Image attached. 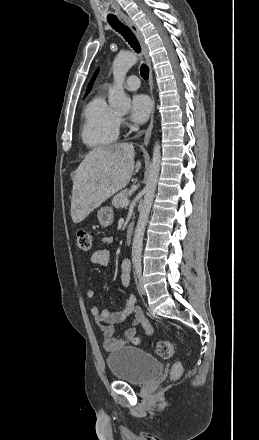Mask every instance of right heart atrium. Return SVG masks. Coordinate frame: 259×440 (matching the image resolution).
I'll use <instances>...</instances> for the list:
<instances>
[{
    "instance_id": "right-heart-atrium-1",
    "label": "right heart atrium",
    "mask_w": 259,
    "mask_h": 440,
    "mask_svg": "<svg viewBox=\"0 0 259 440\" xmlns=\"http://www.w3.org/2000/svg\"><path fill=\"white\" fill-rule=\"evenodd\" d=\"M118 124L119 125H124L125 124V121H124V119L122 117H118Z\"/></svg>"
}]
</instances>
